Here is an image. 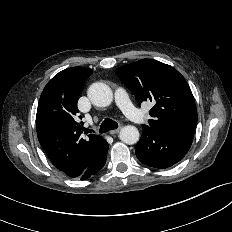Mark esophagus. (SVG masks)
Returning <instances> with one entry per match:
<instances>
[{"label":"esophagus","mask_w":232,"mask_h":232,"mask_svg":"<svg viewBox=\"0 0 232 232\" xmlns=\"http://www.w3.org/2000/svg\"><path fill=\"white\" fill-rule=\"evenodd\" d=\"M120 130H121V127H118L117 129L111 130V131H110V134H111V135L118 134V133L120 132Z\"/></svg>","instance_id":"1"}]
</instances>
